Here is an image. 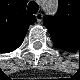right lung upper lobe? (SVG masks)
<instances>
[{
  "mask_svg": "<svg viewBox=\"0 0 80 80\" xmlns=\"http://www.w3.org/2000/svg\"><path fill=\"white\" fill-rule=\"evenodd\" d=\"M36 18L27 13L23 0H10L0 12V43L5 49L14 50L24 40L28 27Z\"/></svg>",
  "mask_w": 80,
  "mask_h": 80,
  "instance_id": "obj_1",
  "label": "right lung upper lobe"
}]
</instances>
